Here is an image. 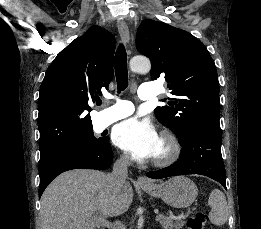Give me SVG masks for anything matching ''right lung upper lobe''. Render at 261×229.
I'll list each match as a JSON object with an SVG mask.
<instances>
[{
  "instance_id": "cb5924a9",
  "label": "right lung upper lobe",
  "mask_w": 261,
  "mask_h": 229,
  "mask_svg": "<svg viewBox=\"0 0 261 229\" xmlns=\"http://www.w3.org/2000/svg\"><path fill=\"white\" fill-rule=\"evenodd\" d=\"M115 38L92 26L62 50L46 71L38 99L40 150L93 131L90 104L113 79Z\"/></svg>"
}]
</instances>
